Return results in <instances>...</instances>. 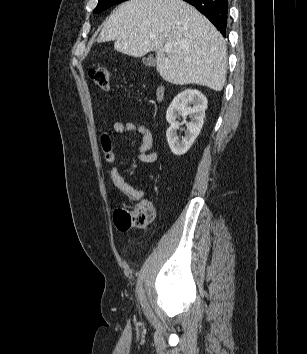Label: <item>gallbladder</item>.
<instances>
[{
  "label": "gallbladder",
  "mask_w": 307,
  "mask_h": 354,
  "mask_svg": "<svg viewBox=\"0 0 307 354\" xmlns=\"http://www.w3.org/2000/svg\"><path fill=\"white\" fill-rule=\"evenodd\" d=\"M145 64L152 67L155 65V59L153 57H148L145 59Z\"/></svg>",
  "instance_id": "bac80fb5"
}]
</instances>
